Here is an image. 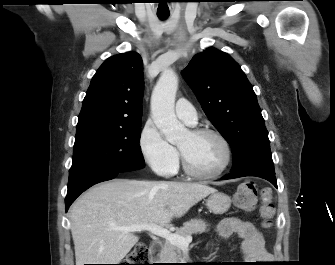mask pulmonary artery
<instances>
[{
	"label": "pulmonary artery",
	"instance_id": "obj_1",
	"mask_svg": "<svg viewBox=\"0 0 335 265\" xmlns=\"http://www.w3.org/2000/svg\"><path fill=\"white\" fill-rule=\"evenodd\" d=\"M175 113L178 118L189 125H195L197 122L196 110L186 99L181 98L176 102Z\"/></svg>",
	"mask_w": 335,
	"mask_h": 265
}]
</instances>
